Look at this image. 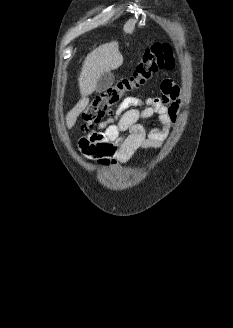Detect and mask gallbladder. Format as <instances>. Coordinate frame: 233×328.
<instances>
[{"label": "gallbladder", "mask_w": 233, "mask_h": 328, "mask_svg": "<svg viewBox=\"0 0 233 328\" xmlns=\"http://www.w3.org/2000/svg\"><path fill=\"white\" fill-rule=\"evenodd\" d=\"M113 83L114 75L111 72H104L100 75L97 81L96 92L101 93L106 91L112 86Z\"/></svg>", "instance_id": "bac80fb5"}]
</instances>
